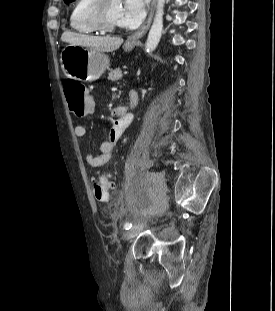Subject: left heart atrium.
Returning <instances> with one entry per match:
<instances>
[{"instance_id": "39dd6f15", "label": "left heart atrium", "mask_w": 275, "mask_h": 311, "mask_svg": "<svg viewBox=\"0 0 275 311\" xmlns=\"http://www.w3.org/2000/svg\"><path fill=\"white\" fill-rule=\"evenodd\" d=\"M148 0H124L119 15L120 25L127 28L137 27L145 18Z\"/></svg>"}]
</instances>
